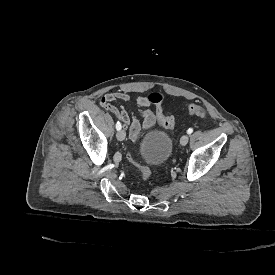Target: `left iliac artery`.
Segmentation results:
<instances>
[{
    "label": "left iliac artery",
    "mask_w": 275,
    "mask_h": 275,
    "mask_svg": "<svg viewBox=\"0 0 275 275\" xmlns=\"http://www.w3.org/2000/svg\"><path fill=\"white\" fill-rule=\"evenodd\" d=\"M193 132V129L192 128H189L188 130H187V134H191Z\"/></svg>",
    "instance_id": "obj_1"
}]
</instances>
